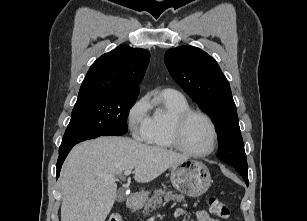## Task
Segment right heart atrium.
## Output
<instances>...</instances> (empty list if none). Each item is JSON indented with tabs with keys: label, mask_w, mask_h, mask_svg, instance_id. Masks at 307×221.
I'll return each mask as SVG.
<instances>
[{
	"label": "right heart atrium",
	"mask_w": 307,
	"mask_h": 221,
	"mask_svg": "<svg viewBox=\"0 0 307 221\" xmlns=\"http://www.w3.org/2000/svg\"><path fill=\"white\" fill-rule=\"evenodd\" d=\"M149 103L145 97L136 100L127 114V122L132 136L139 141H146L149 127Z\"/></svg>",
	"instance_id": "1"
}]
</instances>
